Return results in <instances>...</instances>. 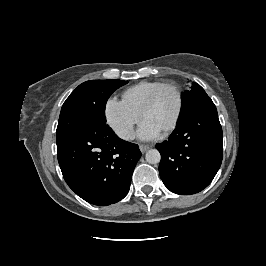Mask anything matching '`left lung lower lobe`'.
<instances>
[{
	"label": "left lung lower lobe",
	"instance_id": "left-lung-lower-lobe-1",
	"mask_svg": "<svg viewBox=\"0 0 266 266\" xmlns=\"http://www.w3.org/2000/svg\"><path fill=\"white\" fill-rule=\"evenodd\" d=\"M222 127L213 101L199 102L183 115L168 140L156 146L159 174L173 193L190 195L206 188L220 168Z\"/></svg>",
	"mask_w": 266,
	"mask_h": 266
}]
</instances>
